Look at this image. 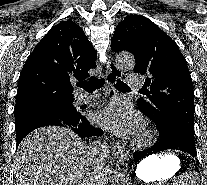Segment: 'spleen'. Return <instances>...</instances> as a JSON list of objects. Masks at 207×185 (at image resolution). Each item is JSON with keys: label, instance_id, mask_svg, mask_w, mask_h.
I'll return each instance as SVG.
<instances>
[{"label": "spleen", "instance_id": "3e777b00", "mask_svg": "<svg viewBox=\"0 0 207 185\" xmlns=\"http://www.w3.org/2000/svg\"><path fill=\"white\" fill-rule=\"evenodd\" d=\"M185 178H176L173 185H198L201 183V174H197V170H184Z\"/></svg>", "mask_w": 207, "mask_h": 185}]
</instances>
